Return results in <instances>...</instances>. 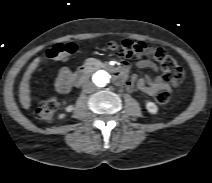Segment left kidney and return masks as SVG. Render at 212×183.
Returning <instances> with one entry per match:
<instances>
[{"label": "left kidney", "instance_id": "1", "mask_svg": "<svg viewBox=\"0 0 212 183\" xmlns=\"http://www.w3.org/2000/svg\"><path fill=\"white\" fill-rule=\"evenodd\" d=\"M146 109L151 114H157V112H158L157 105L154 102H151V101H146Z\"/></svg>", "mask_w": 212, "mask_h": 183}]
</instances>
